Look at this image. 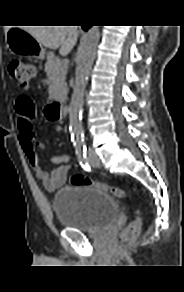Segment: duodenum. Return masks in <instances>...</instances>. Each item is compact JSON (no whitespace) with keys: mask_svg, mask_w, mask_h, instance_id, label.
<instances>
[{"mask_svg":"<svg viewBox=\"0 0 184 292\" xmlns=\"http://www.w3.org/2000/svg\"><path fill=\"white\" fill-rule=\"evenodd\" d=\"M46 113L55 120L63 119L68 115L69 107L63 100L54 101L46 107Z\"/></svg>","mask_w":184,"mask_h":292,"instance_id":"obj_1","label":"duodenum"}]
</instances>
